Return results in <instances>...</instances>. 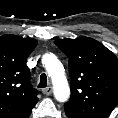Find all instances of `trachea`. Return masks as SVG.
<instances>
[{
	"label": "trachea",
	"mask_w": 118,
	"mask_h": 118,
	"mask_svg": "<svg viewBox=\"0 0 118 118\" xmlns=\"http://www.w3.org/2000/svg\"><path fill=\"white\" fill-rule=\"evenodd\" d=\"M39 88H45L47 87V76L46 74H41L40 76V82H39V85H38Z\"/></svg>",
	"instance_id": "obj_1"
}]
</instances>
